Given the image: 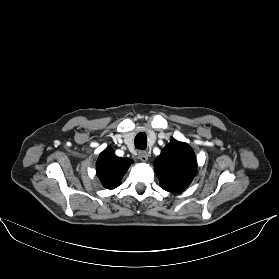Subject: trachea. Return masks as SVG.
Returning a JSON list of instances; mask_svg holds the SVG:
<instances>
[{"label":"trachea","mask_w":279,"mask_h":279,"mask_svg":"<svg viewBox=\"0 0 279 279\" xmlns=\"http://www.w3.org/2000/svg\"><path fill=\"white\" fill-rule=\"evenodd\" d=\"M135 148L140 150L146 149L147 135L144 132H139L134 139Z\"/></svg>","instance_id":"obj_1"}]
</instances>
